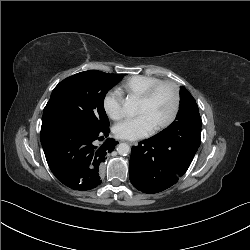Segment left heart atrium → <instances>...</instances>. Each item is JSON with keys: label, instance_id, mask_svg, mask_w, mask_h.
I'll list each match as a JSON object with an SVG mask.
<instances>
[{"label": "left heart atrium", "instance_id": "39dd6f15", "mask_svg": "<svg viewBox=\"0 0 250 250\" xmlns=\"http://www.w3.org/2000/svg\"><path fill=\"white\" fill-rule=\"evenodd\" d=\"M153 126L145 115L128 118L113 127L116 137L127 140H137L150 135Z\"/></svg>", "mask_w": 250, "mask_h": 250}]
</instances>
